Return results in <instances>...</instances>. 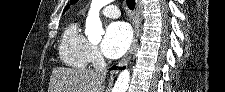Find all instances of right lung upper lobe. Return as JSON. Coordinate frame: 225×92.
Instances as JSON below:
<instances>
[{
    "instance_id": "cb5924a9",
    "label": "right lung upper lobe",
    "mask_w": 225,
    "mask_h": 92,
    "mask_svg": "<svg viewBox=\"0 0 225 92\" xmlns=\"http://www.w3.org/2000/svg\"><path fill=\"white\" fill-rule=\"evenodd\" d=\"M69 8V6L66 7L65 11Z\"/></svg>"
}]
</instances>
